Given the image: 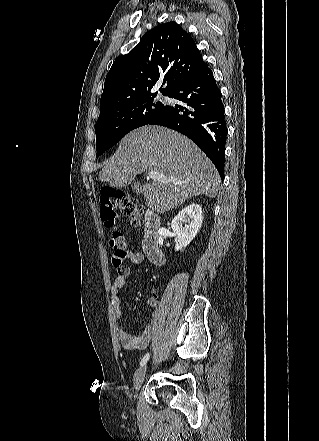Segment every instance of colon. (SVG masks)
<instances>
[{
  "label": "colon",
  "mask_w": 319,
  "mask_h": 441,
  "mask_svg": "<svg viewBox=\"0 0 319 441\" xmlns=\"http://www.w3.org/2000/svg\"><path fill=\"white\" fill-rule=\"evenodd\" d=\"M100 203L101 220L106 227L112 229L109 240L110 247L113 250L112 261L114 265H120L127 255V240L125 235L115 228L116 210L118 209L128 216L135 226L141 223V210L134 198L116 189L102 191Z\"/></svg>",
  "instance_id": "5ec220e1"
}]
</instances>
